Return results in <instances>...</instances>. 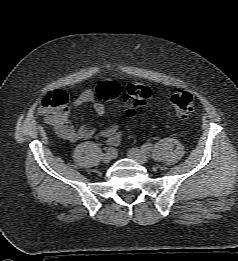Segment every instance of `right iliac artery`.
<instances>
[{
	"label": "right iliac artery",
	"mask_w": 238,
	"mask_h": 261,
	"mask_svg": "<svg viewBox=\"0 0 238 261\" xmlns=\"http://www.w3.org/2000/svg\"><path fill=\"white\" fill-rule=\"evenodd\" d=\"M106 151H107V153H109L110 155H113V154L115 155V154H117V152H118L117 149H114V148H112V147H111V148H107Z\"/></svg>",
	"instance_id": "1"
}]
</instances>
